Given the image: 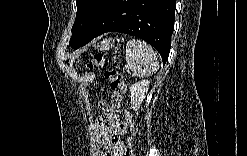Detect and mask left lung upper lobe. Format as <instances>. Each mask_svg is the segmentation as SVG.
Returning a JSON list of instances; mask_svg holds the SVG:
<instances>
[{"label": "left lung upper lobe", "mask_w": 247, "mask_h": 156, "mask_svg": "<svg viewBox=\"0 0 247 156\" xmlns=\"http://www.w3.org/2000/svg\"><path fill=\"white\" fill-rule=\"evenodd\" d=\"M110 0H76L77 13L69 45L77 49L85 45L87 35Z\"/></svg>", "instance_id": "1"}]
</instances>
